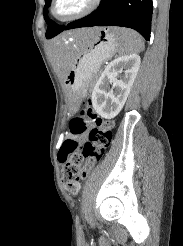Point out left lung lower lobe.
<instances>
[{
    "label": "left lung lower lobe",
    "instance_id": "1",
    "mask_svg": "<svg viewBox=\"0 0 183 246\" xmlns=\"http://www.w3.org/2000/svg\"><path fill=\"white\" fill-rule=\"evenodd\" d=\"M152 14V0H101L93 13L69 23L64 30L92 26H121L132 28L146 40H150Z\"/></svg>",
    "mask_w": 183,
    "mask_h": 246
}]
</instances>
